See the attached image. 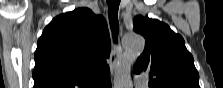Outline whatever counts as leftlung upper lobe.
I'll return each instance as SVG.
<instances>
[{
    "label": "left lung upper lobe",
    "instance_id": "left-lung-upper-lobe-1",
    "mask_svg": "<svg viewBox=\"0 0 223 88\" xmlns=\"http://www.w3.org/2000/svg\"><path fill=\"white\" fill-rule=\"evenodd\" d=\"M133 24V30L145 38L144 52L133 70L149 76L150 88H200L193 56L181 35L163 22L140 15Z\"/></svg>",
    "mask_w": 223,
    "mask_h": 88
}]
</instances>
